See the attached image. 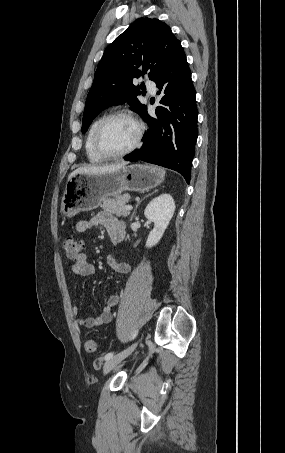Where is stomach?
Returning <instances> with one entry per match:
<instances>
[{"label":"stomach","mask_w":285,"mask_h":453,"mask_svg":"<svg viewBox=\"0 0 285 453\" xmlns=\"http://www.w3.org/2000/svg\"><path fill=\"white\" fill-rule=\"evenodd\" d=\"M165 170L156 166L133 164L101 174H77L67 181L61 202L64 217L96 209L108 197L125 191L145 192L160 185Z\"/></svg>","instance_id":"obj_1"}]
</instances>
